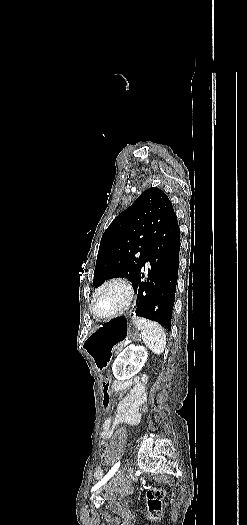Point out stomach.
Segmentation results:
<instances>
[{
    "label": "stomach",
    "mask_w": 247,
    "mask_h": 525,
    "mask_svg": "<svg viewBox=\"0 0 247 525\" xmlns=\"http://www.w3.org/2000/svg\"><path fill=\"white\" fill-rule=\"evenodd\" d=\"M139 328L126 316L113 318L98 325L85 341L83 348L93 359L98 371H104L112 357L113 348L123 340L137 336Z\"/></svg>",
    "instance_id": "obj_1"
}]
</instances>
